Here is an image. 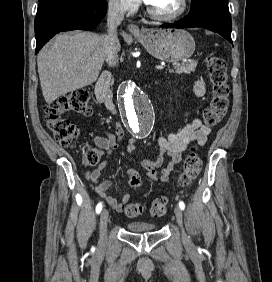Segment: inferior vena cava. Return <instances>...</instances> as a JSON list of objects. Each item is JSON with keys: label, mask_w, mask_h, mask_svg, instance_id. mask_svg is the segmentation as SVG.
Here are the masks:
<instances>
[{"label": "inferior vena cava", "mask_w": 272, "mask_h": 282, "mask_svg": "<svg viewBox=\"0 0 272 282\" xmlns=\"http://www.w3.org/2000/svg\"><path fill=\"white\" fill-rule=\"evenodd\" d=\"M125 6L112 1L108 6L107 34L105 35V59L109 66L115 67L118 63L117 54V27L124 19Z\"/></svg>", "instance_id": "obj_1"}]
</instances>
